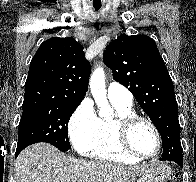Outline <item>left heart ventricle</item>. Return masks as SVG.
I'll list each match as a JSON object with an SVG mask.
<instances>
[{
	"label": "left heart ventricle",
	"mask_w": 196,
	"mask_h": 182,
	"mask_svg": "<svg viewBox=\"0 0 196 182\" xmlns=\"http://www.w3.org/2000/svg\"><path fill=\"white\" fill-rule=\"evenodd\" d=\"M130 143L132 147L142 155L153 154L157 147L153 130L144 122H139L134 125L130 132Z\"/></svg>",
	"instance_id": "obj_1"
}]
</instances>
